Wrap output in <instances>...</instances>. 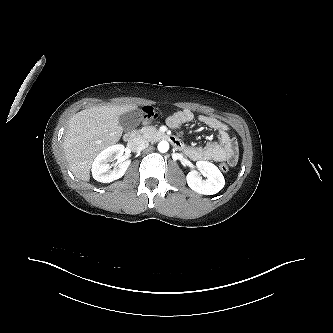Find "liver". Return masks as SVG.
I'll return each instance as SVG.
<instances>
[{
  "mask_svg": "<svg viewBox=\"0 0 333 333\" xmlns=\"http://www.w3.org/2000/svg\"><path fill=\"white\" fill-rule=\"evenodd\" d=\"M137 106H99L82 110L68 121L63 147L70 170L89 181L90 169L98 153L119 141L123 128L119 117Z\"/></svg>",
  "mask_w": 333,
  "mask_h": 333,
  "instance_id": "6515ba94",
  "label": "liver"
}]
</instances>
